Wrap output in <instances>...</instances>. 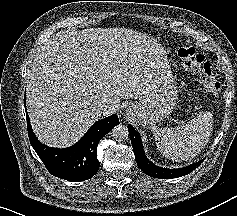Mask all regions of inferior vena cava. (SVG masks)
Returning a JSON list of instances; mask_svg holds the SVG:
<instances>
[{"instance_id":"602c4592","label":"inferior vena cava","mask_w":237,"mask_h":216,"mask_svg":"<svg viewBox=\"0 0 237 216\" xmlns=\"http://www.w3.org/2000/svg\"><path fill=\"white\" fill-rule=\"evenodd\" d=\"M99 106L100 108H102L103 110H112V109H118L119 107V104L118 103H115L113 101H111L110 99H102L100 102H99Z\"/></svg>"}]
</instances>
